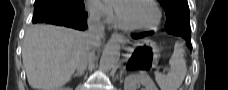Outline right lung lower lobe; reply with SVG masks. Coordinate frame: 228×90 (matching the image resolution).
<instances>
[{"label":"right lung lower lobe","instance_id":"obj_1","mask_svg":"<svg viewBox=\"0 0 228 90\" xmlns=\"http://www.w3.org/2000/svg\"><path fill=\"white\" fill-rule=\"evenodd\" d=\"M74 0H37L34 3L33 23H48L78 30L87 28L86 12Z\"/></svg>","mask_w":228,"mask_h":90}]
</instances>
